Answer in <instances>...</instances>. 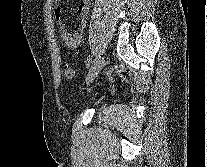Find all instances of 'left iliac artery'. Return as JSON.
Returning <instances> with one entry per match:
<instances>
[{
	"label": "left iliac artery",
	"instance_id": "1",
	"mask_svg": "<svg viewBox=\"0 0 207 167\" xmlns=\"http://www.w3.org/2000/svg\"><path fill=\"white\" fill-rule=\"evenodd\" d=\"M92 63L91 56H88L87 61H86V67L88 68Z\"/></svg>",
	"mask_w": 207,
	"mask_h": 167
}]
</instances>
